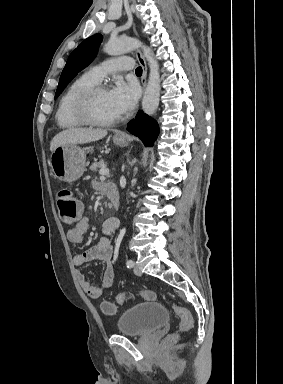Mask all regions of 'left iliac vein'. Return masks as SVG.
<instances>
[{
	"mask_svg": "<svg viewBox=\"0 0 283 384\" xmlns=\"http://www.w3.org/2000/svg\"><path fill=\"white\" fill-rule=\"evenodd\" d=\"M133 271H134V274L137 275V276H141L142 275L141 269H140V267L137 264L134 265Z\"/></svg>",
	"mask_w": 283,
	"mask_h": 384,
	"instance_id": "4c4485c4",
	"label": "left iliac vein"
}]
</instances>
